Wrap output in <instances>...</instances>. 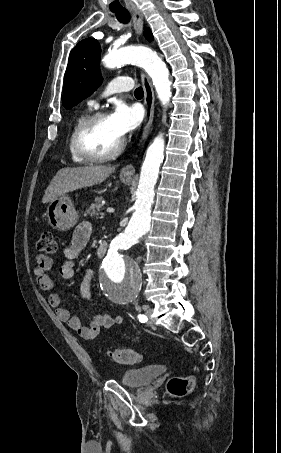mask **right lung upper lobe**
Returning a JSON list of instances; mask_svg holds the SVG:
<instances>
[{
    "instance_id": "cb5924a9",
    "label": "right lung upper lobe",
    "mask_w": 281,
    "mask_h": 453,
    "mask_svg": "<svg viewBox=\"0 0 281 453\" xmlns=\"http://www.w3.org/2000/svg\"><path fill=\"white\" fill-rule=\"evenodd\" d=\"M145 36L148 40H153L152 33L148 28H145Z\"/></svg>"
}]
</instances>
